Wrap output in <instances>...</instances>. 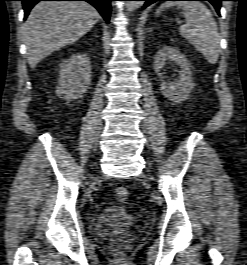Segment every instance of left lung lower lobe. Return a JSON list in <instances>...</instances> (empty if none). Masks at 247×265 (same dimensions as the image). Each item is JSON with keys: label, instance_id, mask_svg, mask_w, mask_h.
<instances>
[{"label": "left lung lower lobe", "instance_id": "obj_1", "mask_svg": "<svg viewBox=\"0 0 247 265\" xmlns=\"http://www.w3.org/2000/svg\"><path fill=\"white\" fill-rule=\"evenodd\" d=\"M140 1H145V4L143 6V9H145L152 3H155L156 1H174V0H140ZM198 1H209L215 7L217 13L220 14L221 2L225 0H198Z\"/></svg>", "mask_w": 247, "mask_h": 265}]
</instances>
